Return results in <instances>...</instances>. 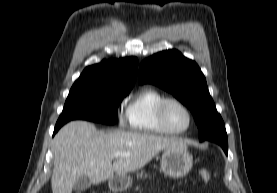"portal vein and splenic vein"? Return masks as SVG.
I'll use <instances>...</instances> for the list:
<instances>
[{
  "mask_svg": "<svg viewBox=\"0 0 277 193\" xmlns=\"http://www.w3.org/2000/svg\"><path fill=\"white\" fill-rule=\"evenodd\" d=\"M122 156L127 157V156H129V154L121 153V152H115V153H114V157H115V158H119V157H122Z\"/></svg>",
  "mask_w": 277,
  "mask_h": 193,
  "instance_id": "portal-vein-and-splenic-vein-1",
  "label": "portal vein and splenic vein"
}]
</instances>
